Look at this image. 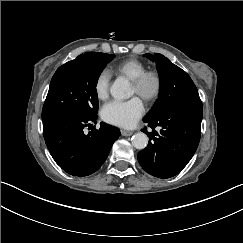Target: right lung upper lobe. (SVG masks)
Segmentation results:
<instances>
[{
	"label": "right lung upper lobe",
	"mask_w": 243,
	"mask_h": 243,
	"mask_svg": "<svg viewBox=\"0 0 243 243\" xmlns=\"http://www.w3.org/2000/svg\"><path fill=\"white\" fill-rule=\"evenodd\" d=\"M97 53H98V52H87V53H85V54H81V55H79V56L77 57V59H78V58H83V57L92 56V55L97 54Z\"/></svg>",
	"instance_id": "right-lung-upper-lobe-1"
}]
</instances>
